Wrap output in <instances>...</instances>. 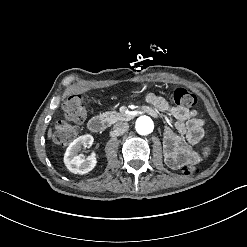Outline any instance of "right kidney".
<instances>
[{
	"label": "right kidney",
	"mask_w": 247,
	"mask_h": 247,
	"mask_svg": "<svg viewBox=\"0 0 247 247\" xmlns=\"http://www.w3.org/2000/svg\"><path fill=\"white\" fill-rule=\"evenodd\" d=\"M93 144V137L89 134L79 136L67 148L64 155V163L67 169L74 174H87L97 165V157L91 155L85 160L78 154L81 147H90Z\"/></svg>",
	"instance_id": "ca27d5eb"
}]
</instances>
